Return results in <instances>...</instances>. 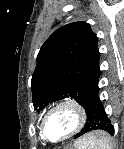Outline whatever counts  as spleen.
<instances>
[{"instance_id": "3e777b00", "label": "spleen", "mask_w": 124, "mask_h": 149, "mask_svg": "<svg viewBox=\"0 0 124 149\" xmlns=\"http://www.w3.org/2000/svg\"><path fill=\"white\" fill-rule=\"evenodd\" d=\"M84 139L85 137L77 143L81 149H111L107 143V138H105L104 135L90 137L85 141Z\"/></svg>"}]
</instances>
